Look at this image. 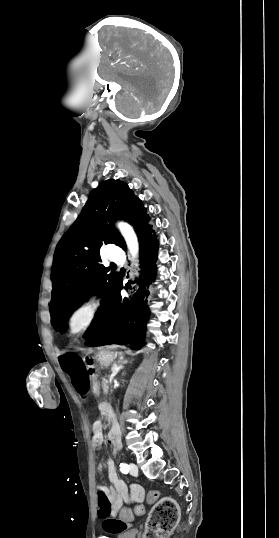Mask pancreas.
Returning a JSON list of instances; mask_svg holds the SVG:
<instances>
[{
  "label": "pancreas",
  "mask_w": 279,
  "mask_h": 538,
  "mask_svg": "<svg viewBox=\"0 0 279 538\" xmlns=\"http://www.w3.org/2000/svg\"><path fill=\"white\" fill-rule=\"evenodd\" d=\"M112 387V380H108V379H105L103 381V388H102V391L104 393H107L108 391H110V388Z\"/></svg>",
  "instance_id": "obj_1"
}]
</instances>
